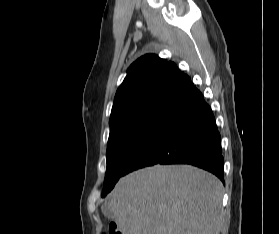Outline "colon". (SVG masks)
<instances>
[{
  "label": "colon",
  "mask_w": 279,
  "mask_h": 234,
  "mask_svg": "<svg viewBox=\"0 0 279 234\" xmlns=\"http://www.w3.org/2000/svg\"><path fill=\"white\" fill-rule=\"evenodd\" d=\"M108 234H123L116 224H110L108 227Z\"/></svg>",
  "instance_id": "colon-1"
}]
</instances>
